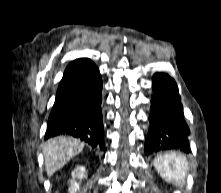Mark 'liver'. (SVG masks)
<instances>
[{"instance_id": "1", "label": "liver", "mask_w": 221, "mask_h": 193, "mask_svg": "<svg viewBox=\"0 0 221 193\" xmlns=\"http://www.w3.org/2000/svg\"><path fill=\"white\" fill-rule=\"evenodd\" d=\"M84 148V143L72 137H56L49 139L44 147L45 169L47 176L61 169Z\"/></svg>"}]
</instances>
